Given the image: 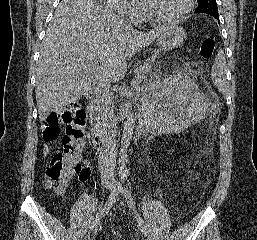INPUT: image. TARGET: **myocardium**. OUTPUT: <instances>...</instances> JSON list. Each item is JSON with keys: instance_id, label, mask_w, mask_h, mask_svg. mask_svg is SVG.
<instances>
[{"instance_id": "myocardium-1", "label": "myocardium", "mask_w": 257, "mask_h": 240, "mask_svg": "<svg viewBox=\"0 0 257 240\" xmlns=\"http://www.w3.org/2000/svg\"><path fill=\"white\" fill-rule=\"evenodd\" d=\"M147 16L149 19H151L153 22L156 23H164V24H172V23H178L182 20H184L192 11L193 9V0H186V5L184 9L177 15L171 16V17H162L157 15L150 3L149 0H144Z\"/></svg>"}]
</instances>
